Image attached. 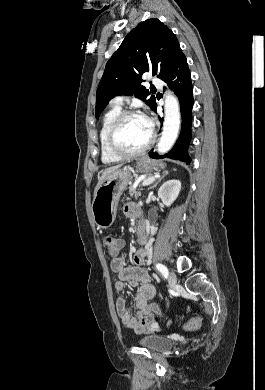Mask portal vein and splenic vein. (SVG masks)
Instances as JSON below:
<instances>
[{"label":"portal vein and splenic vein","instance_id":"18ae733b","mask_svg":"<svg viewBox=\"0 0 265 390\" xmlns=\"http://www.w3.org/2000/svg\"><path fill=\"white\" fill-rule=\"evenodd\" d=\"M155 181V177H149L143 181L142 186H147Z\"/></svg>","mask_w":265,"mask_h":390}]
</instances>
